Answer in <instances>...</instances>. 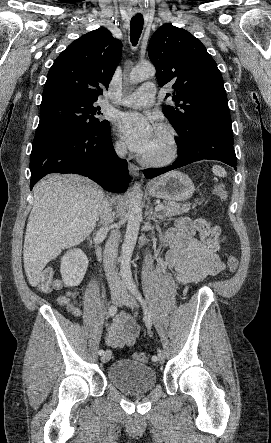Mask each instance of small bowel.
Wrapping results in <instances>:
<instances>
[{
    "label": "small bowel",
    "instance_id": "c3829d8e",
    "mask_svg": "<svg viewBox=\"0 0 271 443\" xmlns=\"http://www.w3.org/2000/svg\"><path fill=\"white\" fill-rule=\"evenodd\" d=\"M169 249L166 263L177 274L181 284L198 282L208 276H215L223 271L224 263L219 256L206 245L194 238V229L189 218L182 217L174 228L167 233ZM61 287L60 283L56 288ZM77 292H68L59 298L66 311L73 317H82L77 301ZM139 334V326L134 319L122 313L117 315L107 327L105 342L112 348H121L134 344Z\"/></svg>",
    "mask_w": 271,
    "mask_h": 443
}]
</instances>
